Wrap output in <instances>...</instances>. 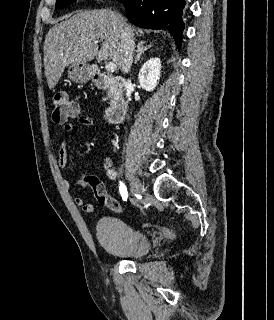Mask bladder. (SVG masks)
Wrapping results in <instances>:
<instances>
[{
  "label": "bladder",
  "mask_w": 274,
  "mask_h": 320,
  "mask_svg": "<svg viewBox=\"0 0 274 320\" xmlns=\"http://www.w3.org/2000/svg\"><path fill=\"white\" fill-rule=\"evenodd\" d=\"M96 236L110 255L138 260L152 249L150 237L141 229L132 227L116 217H103L97 222Z\"/></svg>",
  "instance_id": "31cf9c89"
}]
</instances>
